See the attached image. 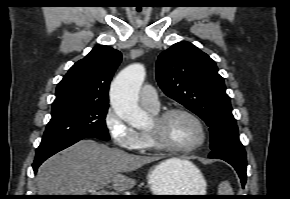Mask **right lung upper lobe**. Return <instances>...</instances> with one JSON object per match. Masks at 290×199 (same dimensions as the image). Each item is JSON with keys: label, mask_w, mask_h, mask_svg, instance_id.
Returning <instances> with one entry per match:
<instances>
[{"label": "right lung upper lobe", "mask_w": 290, "mask_h": 199, "mask_svg": "<svg viewBox=\"0 0 290 199\" xmlns=\"http://www.w3.org/2000/svg\"><path fill=\"white\" fill-rule=\"evenodd\" d=\"M121 59L118 50L95 46L59 82L52 108L75 103L108 104L110 81Z\"/></svg>", "instance_id": "cb5924a9"}]
</instances>
